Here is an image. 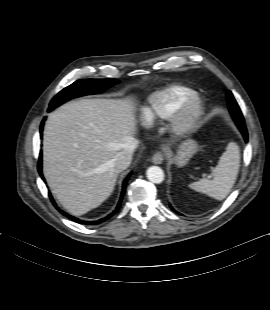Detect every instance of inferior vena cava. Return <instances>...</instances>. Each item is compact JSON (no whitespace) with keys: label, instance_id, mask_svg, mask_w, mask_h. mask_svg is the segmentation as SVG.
Listing matches in <instances>:
<instances>
[{"label":"inferior vena cava","instance_id":"inferior-vena-cava-1","mask_svg":"<svg viewBox=\"0 0 270 310\" xmlns=\"http://www.w3.org/2000/svg\"><path fill=\"white\" fill-rule=\"evenodd\" d=\"M139 141L137 139H131L124 150L117 153L114 157L113 162L116 170L121 172L129 167L132 161V155L134 150L137 148Z\"/></svg>","mask_w":270,"mask_h":310}]
</instances>
